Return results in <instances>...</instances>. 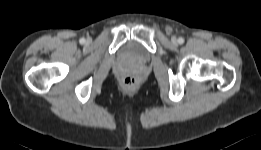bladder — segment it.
Returning a JSON list of instances; mask_svg holds the SVG:
<instances>
[{"instance_id": "1", "label": "bladder", "mask_w": 261, "mask_h": 150, "mask_svg": "<svg viewBox=\"0 0 261 150\" xmlns=\"http://www.w3.org/2000/svg\"><path fill=\"white\" fill-rule=\"evenodd\" d=\"M120 54L123 58L136 62H147L150 59V53L134 41L125 43L120 49Z\"/></svg>"}]
</instances>
